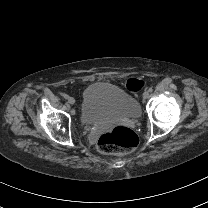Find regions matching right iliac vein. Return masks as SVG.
<instances>
[{"label": "right iliac vein", "mask_w": 208, "mask_h": 208, "mask_svg": "<svg viewBox=\"0 0 208 208\" xmlns=\"http://www.w3.org/2000/svg\"><path fill=\"white\" fill-rule=\"evenodd\" d=\"M68 102H69L71 105H73V104L75 103V99H74L73 97H70V98L68 99Z\"/></svg>", "instance_id": "right-iliac-vein-1"}]
</instances>
